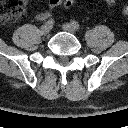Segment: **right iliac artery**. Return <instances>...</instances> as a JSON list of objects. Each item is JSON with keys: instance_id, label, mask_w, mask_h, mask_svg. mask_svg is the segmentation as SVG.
<instances>
[{"instance_id": "82829eb1", "label": "right iliac artery", "mask_w": 128, "mask_h": 128, "mask_svg": "<svg viewBox=\"0 0 128 128\" xmlns=\"http://www.w3.org/2000/svg\"><path fill=\"white\" fill-rule=\"evenodd\" d=\"M45 25L48 26V27H50V28H52L53 25H54V20H53V19L48 20V21L45 23Z\"/></svg>"}]
</instances>
